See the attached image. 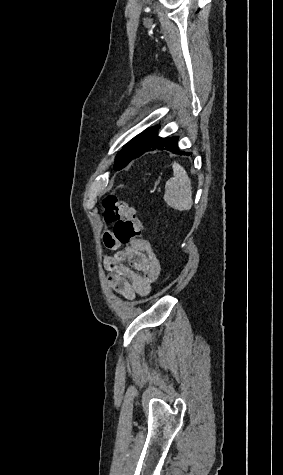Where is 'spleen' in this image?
Masks as SVG:
<instances>
[{
	"label": "spleen",
	"instance_id": "obj_1",
	"mask_svg": "<svg viewBox=\"0 0 283 475\" xmlns=\"http://www.w3.org/2000/svg\"><path fill=\"white\" fill-rule=\"evenodd\" d=\"M173 176L165 186L164 202L174 210H191L193 206L192 186L188 174L180 164L174 162Z\"/></svg>",
	"mask_w": 283,
	"mask_h": 475
}]
</instances>
